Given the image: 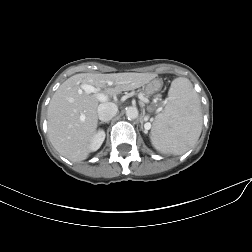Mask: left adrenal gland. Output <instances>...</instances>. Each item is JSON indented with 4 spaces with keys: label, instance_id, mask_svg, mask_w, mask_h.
Listing matches in <instances>:
<instances>
[{
    "label": "left adrenal gland",
    "instance_id": "a2214340",
    "mask_svg": "<svg viewBox=\"0 0 252 252\" xmlns=\"http://www.w3.org/2000/svg\"><path fill=\"white\" fill-rule=\"evenodd\" d=\"M141 128H142V130H143V123H141ZM143 132H144V133H148L147 130H143Z\"/></svg>",
    "mask_w": 252,
    "mask_h": 252
}]
</instances>
